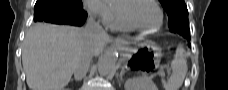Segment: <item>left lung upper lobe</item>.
<instances>
[{"label": "left lung upper lobe", "instance_id": "1", "mask_svg": "<svg viewBox=\"0 0 228 90\" xmlns=\"http://www.w3.org/2000/svg\"><path fill=\"white\" fill-rule=\"evenodd\" d=\"M169 17L171 31L189 33L188 10L184 0H160Z\"/></svg>", "mask_w": 228, "mask_h": 90}]
</instances>
